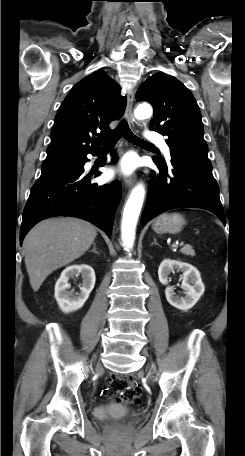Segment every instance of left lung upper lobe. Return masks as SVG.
Masks as SVG:
<instances>
[{"label": "left lung upper lobe", "mask_w": 245, "mask_h": 456, "mask_svg": "<svg viewBox=\"0 0 245 456\" xmlns=\"http://www.w3.org/2000/svg\"><path fill=\"white\" fill-rule=\"evenodd\" d=\"M136 99L153 106L150 129L168 136L170 152L210 163L199 106L182 82L167 74H154L138 89Z\"/></svg>", "instance_id": "5c2ea615"}]
</instances>
